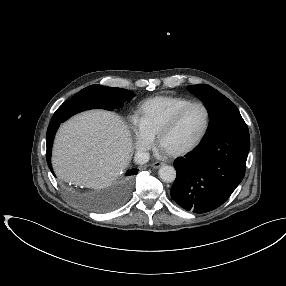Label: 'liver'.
I'll use <instances>...</instances> for the list:
<instances>
[{
	"label": "liver",
	"mask_w": 286,
	"mask_h": 286,
	"mask_svg": "<svg viewBox=\"0 0 286 286\" xmlns=\"http://www.w3.org/2000/svg\"><path fill=\"white\" fill-rule=\"evenodd\" d=\"M132 153L131 134L124 121L115 113L91 110L59 128L52 165L60 179L100 189L126 169Z\"/></svg>",
	"instance_id": "1"
}]
</instances>
